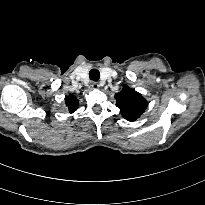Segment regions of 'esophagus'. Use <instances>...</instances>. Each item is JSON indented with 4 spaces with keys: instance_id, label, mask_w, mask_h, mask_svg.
I'll list each match as a JSON object with an SVG mask.
<instances>
[{
    "instance_id": "34e87169",
    "label": "esophagus",
    "mask_w": 205,
    "mask_h": 205,
    "mask_svg": "<svg viewBox=\"0 0 205 205\" xmlns=\"http://www.w3.org/2000/svg\"><path fill=\"white\" fill-rule=\"evenodd\" d=\"M91 87H92V89H99L100 88V85L97 83V82H93L92 84H91Z\"/></svg>"
}]
</instances>
